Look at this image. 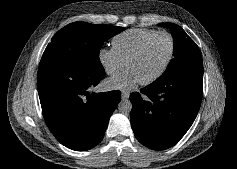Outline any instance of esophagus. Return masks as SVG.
<instances>
[{
	"label": "esophagus",
	"instance_id": "34e87169",
	"mask_svg": "<svg viewBox=\"0 0 237 169\" xmlns=\"http://www.w3.org/2000/svg\"><path fill=\"white\" fill-rule=\"evenodd\" d=\"M129 96H130V93L128 91H122L121 97H122L123 100L128 99Z\"/></svg>",
	"mask_w": 237,
	"mask_h": 169
}]
</instances>
